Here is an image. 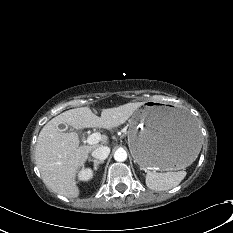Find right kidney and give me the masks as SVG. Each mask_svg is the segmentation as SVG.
Instances as JSON below:
<instances>
[{
	"mask_svg": "<svg viewBox=\"0 0 233 233\" xmlns=\"http://www.w3.org/2000/svg\"><path fill=\"white\" fill-rule=\"evenodd\" d=\"M78 177H79V180H81V181H88V180L92 179V177H93V172H92V170L89 169V168H86V169L83 168V169L79 172Z\"/></svg>",
	"mask_w": 233,
	"mask_h": 233,
	"instance_id": "ca27d5eb",
	"label": "right kidney"
}]
</instances>
